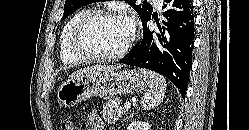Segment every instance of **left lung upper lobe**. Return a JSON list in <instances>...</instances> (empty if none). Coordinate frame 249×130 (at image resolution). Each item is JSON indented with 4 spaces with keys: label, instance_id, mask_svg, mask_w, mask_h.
<instances>
[{
    "label": "left lung upper lobe",
    "instance_id": "5c2ea615",
    "mask_svg": "<svg viewBox=\"0 0 249 130\" xmlns=\"http://www.w3.org/2000/svg\"><path fill=\"white\" fill-rule=\"evenodd\" d=\"M96 1L99 0H66L64 5V14L62 20L66 19L71 13H73L77 9L85 5L94 3ZM125 1L128 2L136 10L138 15L140 16L141 21L147 18L153 10L152 6L147 1H143V3L141 4H136V0H125Z\"/></svg>",
    "mask_w": 249,
    "mask_h": 130
}]
</instances>
